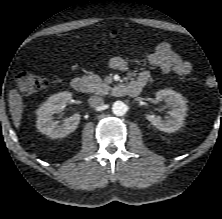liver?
<instances>
[{"label": "liver", "instance_id": "liver-1", "mask_svg": "<svg viewBox=\"0 0 222 219\" xmlns=\"http://www.w3.org/2000/svg\"><path fill=\"white\" fill-rule=\"evenodd\" d=\"M9 110L12 116V121L16 128L21 124L23 113V101L16 89H12L8 94Z\"/></svg>", "mask_w": 222, "mask_h": 219}]
</instances>
